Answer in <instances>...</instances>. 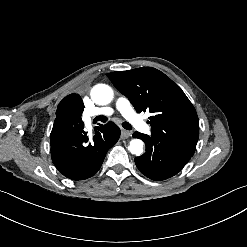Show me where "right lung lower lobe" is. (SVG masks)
I'll return each instance as SVG.
<instances>
[{"instance_id":"obj_1","label":"right lung lower lobe","mask_w":247,"mask_h":247,"mask_svg":"<svg viewBox=\"0 0 247 247\" xmlns=\"http://www.w3.org/2000/svg\"><path fill=\"white\" fill-rule=\"evenodd\" d=\"M119 137L120 129L113 122L97 127L90 138L83 122L53 129L50 135L52 161L69 179L90 178L100 169L107 151Z\"/></svg>"}]
</instances>
